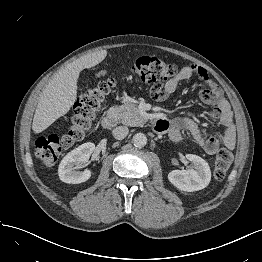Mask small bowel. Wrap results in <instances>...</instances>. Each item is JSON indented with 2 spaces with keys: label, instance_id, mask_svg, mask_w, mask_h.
Here are the masks:
<instances>
[{
  "label": "small bowel",
  "instance_id": "small-bowel-1",
  "mask_svg": "<svg viewBox=\"0 0 262 262\" xmlns=\"http://www.w3.org/2000/svg\"><path fill=\"white\" fill-rule=\"evenodd\" d=\"M193 75H197L207 85L201 92V99L213 106L210 115L222 124L221 139L207 135L189 116H179L172 121L161 119L159 131L167 133L169 139L175 143L182 142L184 140L182 132L187 131L193 141L208 155H214L220 146L232 150L235 146V130L231 120L230 105L219 86L209 77L206 69L195 64L182 67L176 77L166 82L164 98L171 95L181 82L190 79Z\"/></svg>",
  "mask_w": 262,
  "mask_h": 262
}]
</instances>
